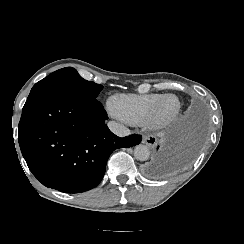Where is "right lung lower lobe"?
<instances>
[{
	"mask_svg": "<svg viewBox=\"0 0 244 244\" xmlns=\"http://www.w3.org/2000/svg\"><path fill=\"white\" fill-rule=\"evenodd\" d=\"M106 119L97 99L57 92L30 94L18 126L20 149L30 171L46 187L65 193L97 186L111 153L142 139L138 134L117 137Z\"/></svg>",
	"mask_w": 244,
	"mask_h": 244,
	"instance_id": "1",
	"label": "right lung lower lobe"
}]
</instances>
